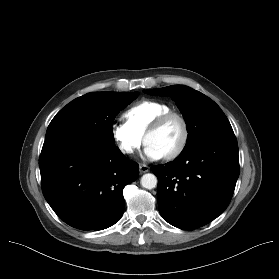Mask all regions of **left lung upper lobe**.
Here are the masks:
<instances>
[{
  "label": "left lung upper lobe",
  "instance_id": "obj_1",
  "mask_svg": "<svg viewBox=\"0 0 279 279\" xmlns=\"http://www.w3.org/2000/svg\"><path fill=\"white\" fill-rule=\"evenodd\" d=\"M155 96H171L182 112L188 131L186 151L197 143L217 138L235 137L233 129L220 107L209 97L185 85H173L144 90Z\"/></svg>",
  "mask_w": 279,
  "mask_h": 279
}]
</instances>
